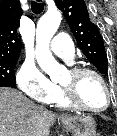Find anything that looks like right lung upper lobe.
I'll return each mask as SVG.
<instances>
[{"label": "right lung upper lobe", "mask_w": 117, "mask_h": 136, "mask_svg": "<svg viewBox=\"0 0 117 136\" xmlns=\"http://www.w3.org/2000/svg\"><path fill=\"white\" fill-rule=\"evenodd\" d=\"M22 13L19 0L0 1V58H19L22 43L18 27Z\"/></svg>", "instance_id": "right-lung-upper-lobe-1"}]
</instances>
